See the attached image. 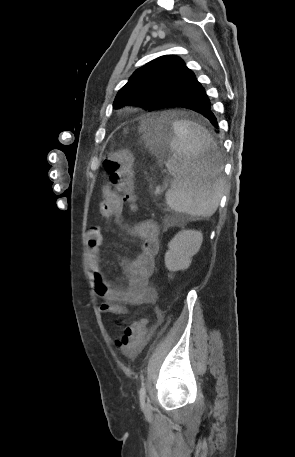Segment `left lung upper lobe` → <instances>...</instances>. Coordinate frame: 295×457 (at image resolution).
I'll list each match as a JSON object with an SVG mask.
<instances>
[{
  "instance_id": "1",
  "label": "left lung upper lobe",
  "mask_w": 295,
  "mask_h": 457,
  "mask_svg": "<svg viewBox=\"0 0 295 457\" xmlns=\"http://www.w3.org/2000/svg\"><path fill=\"white\" fill-rule=\"evenodd\" d=\"M191 72L180 57L160 56L132 74L119 90L113 106L119 108L134 103L154 111L161 101L189 85Z\"/></svg>"
}]
</instances>
